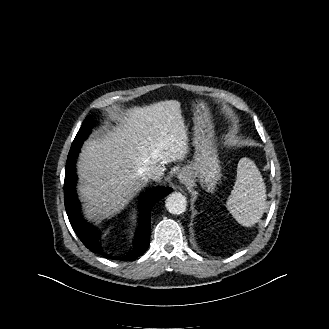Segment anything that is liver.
Instances as JSON below:
<instances>
[{
  "label": "liver",
  "instance_id": "obj_1",
  "mask_svg": "<svg viewBox=\"0 0 329 329\" xmlns=\"http://www.w3.org/2000/svg\"><path fill=\"white\" fill-rule=\"evenodd\" d=\"M118 126L84 143L77 164L81 199L90 219L122 210L146 185L140 172L182 161L189 152L181 104L160 101L116 115Z\"/></svg>",
  "mask_w": 329,
  "mask_h": 329
}]
</instances>
